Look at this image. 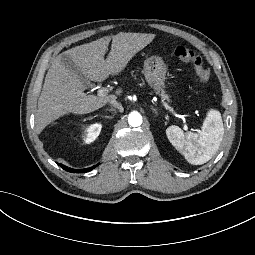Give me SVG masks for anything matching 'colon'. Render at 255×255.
<instances>
[{"instance_id": "colon-1", "label": "colon", "mask_w": 255, "mask_h": 255, "mask_svg": "<svg viewBox=\"0 0 255 255\" xmlns=\"http://www.w3.org/2000/svg\"><path fill=\"white\" fill-rule=\"evenodd\" d=\"M174 54L179 60L193 65L196 75L202 83H206L209 80V68L205 65L201 56H199L194 50L180 45L175 48Z\"/></svg>"}]
</instances>
